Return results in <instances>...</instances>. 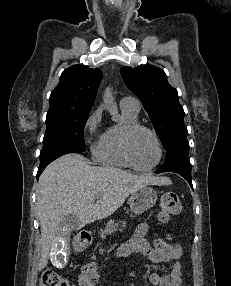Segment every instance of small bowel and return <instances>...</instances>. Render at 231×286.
Wrapping results in <instances>:
<instances>
[{
	"label": "small bowel",
	"instance_id": "c3829d8e",
	"mask_svg": "<svg viewBox=\"0 0 231 286\" xmlns=\"http://www.w3.org/2000/svg\"><path fill=\"white\" fill-rule=\"evenodd\" d=\"M150 229L148 223H142L133 236L123 243L115 252L117 257H126L133 253L145 254L153 264H171V271L166 275L152 273L149 277L153 286H180L182 280V267L179 261L182 256V246L172 242V238H155L152 243L146 239ZM101 274L98 264L90 262L83 265L78 277L79 286H96Z\"/></svg>",
	"mask_w": 231,
	"mask_h": 286
}]
</instances>
